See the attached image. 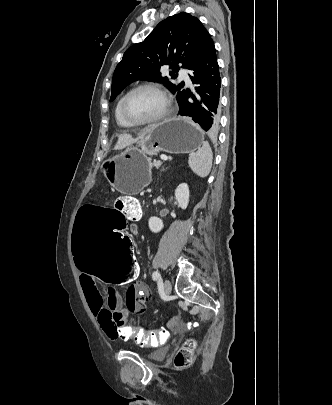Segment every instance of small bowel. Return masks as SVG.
Listing matches in <instances>:
<instances>
[{
  "label": "small bowel",
  "mask_w": 332,
  "mask_h": 405,
  "mask_svg": "<svg viewBox=\"0 0 332 405\" xmlns=\"http://www.w3.org/2000/svg\"><path fill=\"white\" fill-rule=\"evenodd\" d=\"M138 217H141V213L135 212L129 215L128 219L135 222L138 221ZM130 232L137 235L136 224L130 225ZM76 266L78 268V262H76ZM136 266H138L137 263ZM78 270L81 286L91 312L108 338H118V329H128L130 322H136L127 320L129 312L145 311L148 306L149 300L148 297H143L141 284L137 280L131 282L127 288L125 300H123L114 287H107L103 294L97 285L96 275H82V268H78ZM136 323L138 324V322Z\"/></svg>",
  "instance_id": "c3829d8e"
}]
</instances>
